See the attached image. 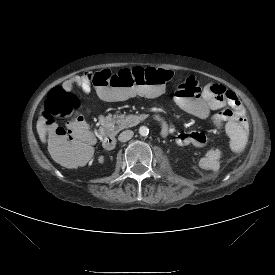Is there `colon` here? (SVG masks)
Listing matches in <instances>:
<instances>
[{
	"label": "colon",
	"instance_id": "colon-1",
	"mask_svg": "<svg viewBox=\"0 0 275 275\" xmlns=\"http://www.w3.org/2000/svg\"><path fill=\"white\" fill-rule=\"evenodd\" d=\"M87 78L97 86L100 97L107 101H124L127 98L156 97L169 82L174 73L170 70L159 68H134L112 74L109 70L89 72ZM193 84L198 90V81L195 77L185 79L183 86ZM80 107L79 99L61 87L54 88L46 101L44 118L51 129L50 153L59 157L73 149V143L79 130L72 124L68 130L54 128L53 124L58 117L68 118Z\"/></svg>",
	"mask_w": 275,
	"mask_h": 275
}]
</instances>
